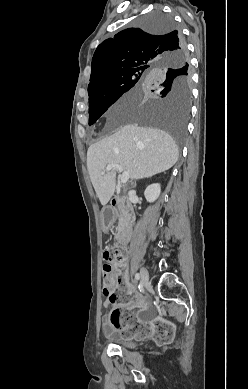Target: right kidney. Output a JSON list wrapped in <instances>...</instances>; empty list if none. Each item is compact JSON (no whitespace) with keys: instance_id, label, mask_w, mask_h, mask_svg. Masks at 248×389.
I'll return each mask as SVG.
<instances>
[{"instance_id":"ca27d5eb","label":"right kidney","mask_w":248,"mask_h":389,"mask_svg":"<svg viewBox=\"0 0 248 389\" xmlns=\"http://www.w3.org/2000/svg\"><path fill=\"white\" fill-rule=\"evenodd\" d=\"M160 192H161L160 184L154 183V184L149 185L146 188V190L144 192V196H145L147 202L152 203L159 197Z\"/></svg>"}]
</instances>
